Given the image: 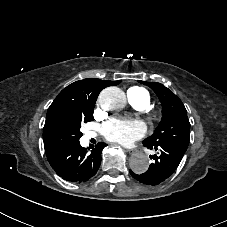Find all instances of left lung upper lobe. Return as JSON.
<instances>
[{
    "mask_svg": "<svg viewBox=\"0 0 227 227\" xmlns=\"http://www.w3.org/2000/svg\"><path fill=\"white\" fill-rule=\"evenodd\" d=\"M149 86L159 97L162 105V120L152 136L143 141L144 144L165 143L186 151L190 139V123L187 110L181 100L160 83L138 81Z\"/></svg>",
    "mask_w": 227,
    "mask_h": 227,
    "instance_id": "1",
    "label": "left lung upper lobe"
}]
</instances>
